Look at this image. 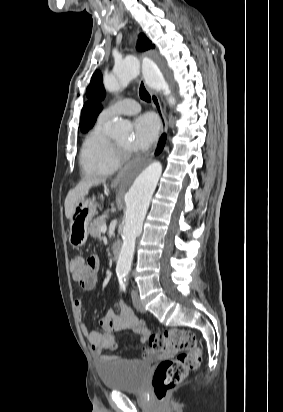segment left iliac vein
I'll list each match as a JSON object with an SVG mask.
<instances>
[{
	"mask_svg": "<svg viewBox=\"0 0 283 412\" xmlns=\"http://www.w3.org/2000/svg\"><path fill=\"white\" fill-rule=\"evenodd\" d=\"M131 297H132V302H133L134 307H135L139 312L145 313V312H146L145 307H144V305L142 304V302H141V300H140V298H139V295H138V293H137L136 290H132V291H131Z\"/></svg>",
	"mask_w": 283,
	"mask_h": 412,
	"instance_id": "obj_1",
	"label": "left iliac vein"
}]
</instances>
